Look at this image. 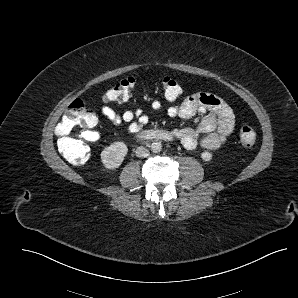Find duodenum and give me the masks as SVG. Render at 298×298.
<instances>
[{"mask_svg":"<svg viewBox=\"0 0 298 298\" xmlns=\"http://www.w3.org/2000/svg\"><path fill=\"white\" fill-rule=\"evenodd\" d=\"M139 138L145 140H170L172 137L170 134L161 131H149L139 135Z\"/></svg>","mask_w":298,"mask_h":298,"instance_id":"duodenum-1","label":"duodenum"}]
</instances>
